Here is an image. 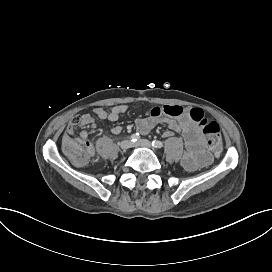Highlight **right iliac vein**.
Returning a JSON list of instances; mask_svg holds the SVG:
<instances>
[{
  "label": "right iliac vein",
  "mask_w": 272,
  "mask_h": 272,
  "mask_svg": "<svg viewBox=\"0 0 272 272\" xmlns=\"http://www.w3.org/2000/svg\"><path fill=\"white\" fill-rule=\"evenodd\" d=\"M132 146V142L130 140H123L121 143H120V148L122 150H127L129 149L130 147Z\"/></svg>",
  "instance_id": "obj_1"
}]
</instances>
